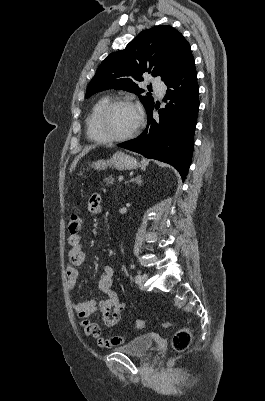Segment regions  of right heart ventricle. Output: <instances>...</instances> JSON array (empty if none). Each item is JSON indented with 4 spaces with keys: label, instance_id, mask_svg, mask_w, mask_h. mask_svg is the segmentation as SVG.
<instances>
[{
    "label": "right heart ventricle",
    "instance_id": "e07e8e85",
    "mask_svg": "<svg viewBox=\"0 0 265 401\" xmlns=\"http://www.w3.org/2000/svg\"><path fill=\"white\" fill-rule=\"evenodd\" d=\"M109 101L108 97H102L100 99H98L93 106L91 107L87 117H86V130H87V135L88 137L95 142H101L99 140L98 135L94 132L93 130V120L97 114V112L99 111V109Z\"/></svg>",
    "mask_w": 265,
    "mask_h": 401
}]
</instances>
